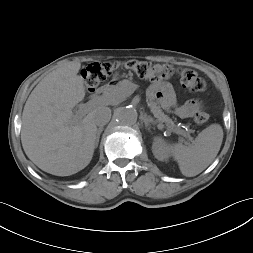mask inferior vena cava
<instances>
[{
	"mask_svg": "<svg viewBox=\"0 0 253 253\" xmlns=\"http://www.w3.org/2000/svg\"><path fill=\"white\" fill-rule=\"evenodd\" d=\"M111 118V109L109 107H99L94 113L95 124L99 127L106 125Z\"/></svg>",
	"mask_w": 253,
	"mask_h": 253,
	"instance_id": "obj_1",
	"label": "inferior vena cava"
}]
</instances>
